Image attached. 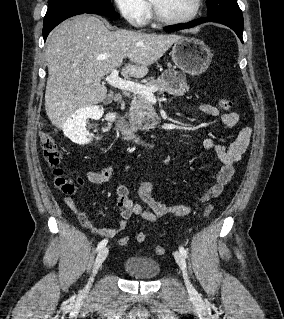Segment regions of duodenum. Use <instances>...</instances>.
<instances>
[{
    "mask_svg": "<svg viewBox=\"0 0 284 319\" xmlns=\"http://www.w3.org/2000/svg\"><path fill=\"white\" fill-rule=\"evenodd\" d=\"M116 99H119L118 95L116 96ZM115 126H116V129L122 134L125 141L133 143V144L142 145L150 149L156 148L155 143L143 140L137 134H135V132L131 129V127L128 125V123L124 119L117 117L115 121Z\"/></svg>",
    "mask_w": 284,
    "mask_h": 319,
    "instance_id": "duodenum-1",
    "label": "duodenum"
}]
</instances>
